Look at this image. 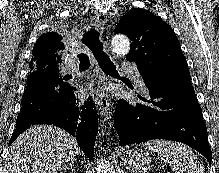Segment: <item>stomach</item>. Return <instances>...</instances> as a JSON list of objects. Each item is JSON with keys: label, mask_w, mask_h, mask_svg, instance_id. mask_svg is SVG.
<instances>
[{"label": "stomach", "mask_w": 219, "mask_h": 173, "mask_svg": "<svg viewBox=\"0 0 219 173\" xmlns=\"http://www.w3.org/2000/svg\"><path fill=\"white\" fill-rule=\"evenodd\" d=\"M152 158L147 151L128 148L120 154V164L131 173H146Z\"/></svg>", "instance_id": "stomach-1"}]
</instances>
